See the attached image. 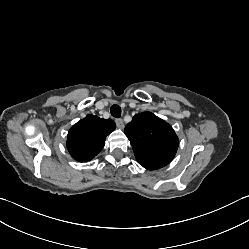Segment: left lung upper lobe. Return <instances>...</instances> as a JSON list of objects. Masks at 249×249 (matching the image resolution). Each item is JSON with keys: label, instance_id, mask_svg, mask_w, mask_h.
<instances>
[{"label": "left lung upper lobe", "instance_id": "obj_1", "mask_svg": "<svg viewBox=\"0 0 249 249\" xmlns=\"http://www.w3.org/2000/svg\"><path fill=\"white\" fill-rule=\"evenodd\" d=\"M124 133L138 163L148 170L168 165L176 154L179 141L175 131L151 112L136 114Z\"/></svg>", "mask_w": 249, "mask_h": 249}]
</instances>
